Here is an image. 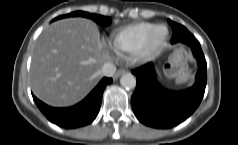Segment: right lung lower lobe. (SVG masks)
<instances>
[{
  "label": "right lung lower lobe",
  "instance_id": "right-lung-lower-lobe-1",
  "mask_svg": "<svg viewBox=\"0 0 238 145\" xmlns=\"http://www.w3.org/2000/svg\"><path fill=\"white\" fill-rule=\"evenodd\" d=\"M111 82V78L104 77L84 100L68 108L50 107L35 96H33V99L50 122L65 129H74L86 126L96 118L101 106L104 89Z\"/></svg>",
  "mask_w": 238,
  "mask_h": 145
}]
</instances>
